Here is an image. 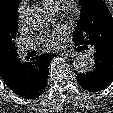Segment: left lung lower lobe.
<instances>
[{
	"mask_svg": "<svg viewBox=\"0 0 113 113\" xmlns=\"http://www.w3.org/2000/svg\"><path fill=\"white\" fill-rule=\"evenodd\" d=\"M79 50L91 48L94 52L95 67L86 74H78L77 80L82 88L90 92L105 89L113 81V43L106 41L86 42L74 41ZM113 42V40H112Z\"/></svg>",
	"mask_w": 113,
	"mask_h": 113,
	"instance_id": "1",
	"label": "left lung lower lobe"
}]
</instances>
